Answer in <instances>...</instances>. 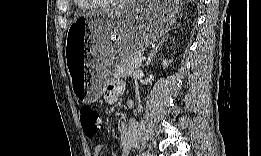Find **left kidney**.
Here are the masks:
<instances>
[{
    "label": "left kidney",
    "mask_w": 261,
    "mask_h": 156,
    "mask_svg": "<svg viewBox=\"0 0 261 156\" xmlns=\"http://www.w3.org/2000/svg\"><path fill=\"white\" fill-rule=\"evenodd\" d=\"M170 64V61H168V60H163V63H162V65H163V68H166L168 65Z\"/></svg>",
    "instance_id": "obj_1"
}]
</instances>
